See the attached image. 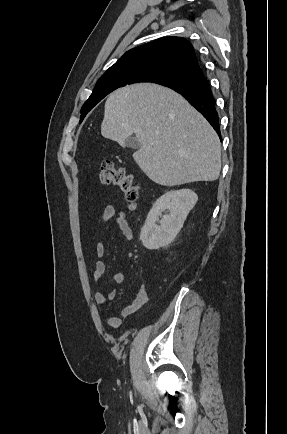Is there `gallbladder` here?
<instances>
[{"label":"gallbladder","instance_id":"gallbladder-1","mask_svg":"<svg viewBox=\"0 0 287 434\" xmlns=\"http://www.w3.org/2000/svg\"><path fill=\"white\" fill-rule=\"evenodd\" d=\"M125 144L127 147H130L132 149H139L141 144L135 137H128L125 141Z\"/></svg>","mask_w":287,"mask_h":434}]
</instances>
